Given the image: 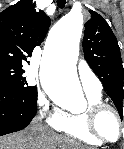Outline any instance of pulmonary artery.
Segmentation results:
<instances>
[{"instance_id": "1", "label": "pulmonary artery", "mask_w": 124, "mask_h": 149, "mask_svg": "<svg viewBox=\"0 0 124 149\" xmlns=\"http://www.w3.org/2000/svg\"><path fill=\"white\" fill-rule=\"evenodd\" d=\"M78 76L85 92L101 93L102 84L84 60L78 64Z\"/></svg>"}]
</instances>
